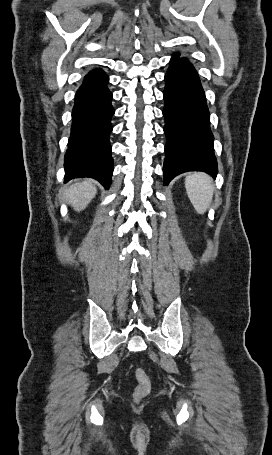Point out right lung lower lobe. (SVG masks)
<instances>
[{"instance_id": "obj_1", "label": "right lung lower lobe", "mask_w": 272, "mask_h": 455, "mask_svg": "<svg viewBox=\"0 0 272 455\" xmlns=\"http://www.w3.org/2000/svg\"><path fill=\"white\" fill-rule=\"evenodd\" d=\"M101 71L86 75L75 95L71 136L65 154V182L91 177L108 188L113 172L109 134L112 131V93Z\"/></svg>"}]
</instances>
